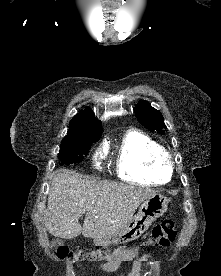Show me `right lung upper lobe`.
<instances>
[{
  "label": "right lung upper lobe",
  "mask_w": 221,
  "mask_h": 276,
  "mask_svg": "<svg viewBox=\"0 0 221 276\" xmlns=\"http://www.w3.org/2000/svg\"><path fill=\"white\" fill-rule=\"evenodd\" d=\"M101 137V123L96 119L90 108L77 113L70 121L68 134L62 142L76 140H99Z\"/></svg>",
  "instance_id": "obj_1"
}]
</instances>
